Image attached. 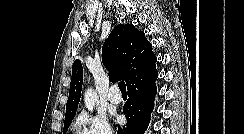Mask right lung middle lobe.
Returning <instances> with one entry per match:
<instances>
[{
	"mask_svg": "<svg viewBox=\"0 0 244 134\" xmlns=\"http://www.w3.org/2000/svg\"><path fill=\"white\" fill-rule=\"evenodd\" d=\"M74 118V116H70V117H65V121H64V130L63 133L65 134L66 131L68 130L69 125L72 122V119Z\"/></svg>",
	"mask_w": 244,
	"mask_h": 134,
	"instance_id": "dd1d6c3e",
	"label": "right lung middle lobe"
}]
</instances>
